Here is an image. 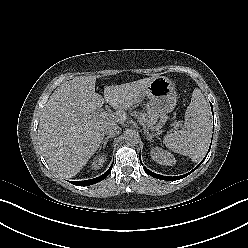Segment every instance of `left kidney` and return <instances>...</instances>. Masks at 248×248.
Here are the masks:
<instances>
[{"mask_svg": "<svg viewBox=\"0 0 248 248\" xmlns=\"http://www.w3.org/2000/svg\"><path fill=\"white\" fill-rule=\"evenodd\" d=\"M151 157L154 161L162 165L173 166L176 164L174 156L160 147H154L151 149Z\"/></svg>", "mask_w": 248, "mask_h": 248, "instance_id": "5707ae66", "label": "left kidney"}]
</instances>
